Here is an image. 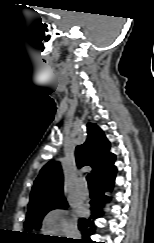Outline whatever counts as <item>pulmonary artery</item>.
<instances>
[{"label": "pulmonary artery", "mask_w": 154, "mask_h": 243, "mask_svg": "<svg viewBox=\"0 0 154 243\" xmlns=\"http://www.w3.org/2000/svg\"><path fill=\"white\" fill-rule=\"evenodd\" d=\"M75 194L80 198H86L88 196V189L85 186L78 184L75 188Z\"/></svg>", "instance_id": "e3ab8cb5"}]
</instances>
